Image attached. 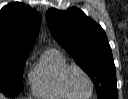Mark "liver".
<instances>
[{
  "instance_id": "obj_1",
  "label": "liver",
  "mask_w": 128,
  "mask_h": 99,
  "mask_svg": "<svg viewBox=\"0 0 128 99\" xmlns=\"http://www.w3.org/2000/svg\"><path fill=\"white\" fill-rule=\"evenodd\" d=\"M0 99H6L3 94H0Z\"/></svg>"
}]
</instances>
